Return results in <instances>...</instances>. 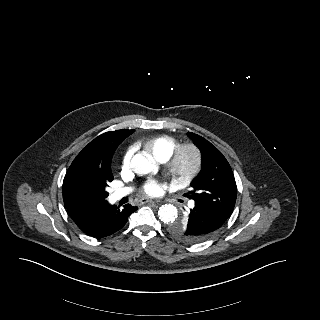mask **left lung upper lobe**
Instances as JSON below:
<instances>
[{
	"mask_svg": "<svg viewBox=\"0 0 320 320\" xmlns=\"http://www.w3.org/2000/svg\"><path fill=\"white\" fill-rule=\"evenodd\" d=\"M189 137L201 151L202 169L190 184L192 191L185 195L193 199L195 204L228 219L233 212L237 197L232 169L223 154L209 141L194 133H189ZM169 231L181 241L198 242V239L189 233L187 218L172 222Z\"/></svg>",
	"mask_w": 320,
	"mask_h": 320,
	"instance_id": "left-lung-upper-lobe-1",
	"label": "left lung upper lobe"
}]
</instances>
